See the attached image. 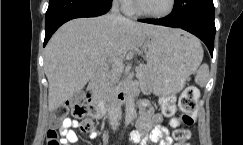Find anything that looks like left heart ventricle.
<instances>
[{"mask_svg":"<svg viewBox=\"0 0 243 145\" xmlns=\"http://www.w3.org/2000/svg\"><path fill=\"white\" fill-rule=\"evenodd\" d=\"M141 6L153 13H162L168 9L170 0H140Z\"/></svg>","mask_w":243,"mask_h":145,"instance_id":"b2bd125f","label":"left heart ventricle"}]
</instances>
